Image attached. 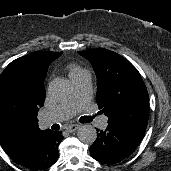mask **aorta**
<instances>
[{
  "label": "aorta",
  "instance_id": "aorta-1",
  "mask_svg": "<svg viewBox=\"0 0 171 171\" xmlns=\"http://www.w3.org/2000/svg\"><path fill=\"white\" fill-rule=\"evenodd\" d=\"M70 90V83L64 78H56L52 80L48 87L49 95L57 100L67 97ZM77 136L81 142L92 144L97 138V131L92 125L85 124L78 129Z\"/></svg>",
  "mask_w": 171,
  "mask_h": 171
}]
</instances>
